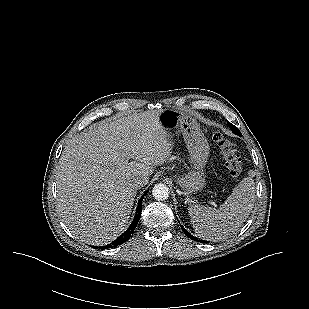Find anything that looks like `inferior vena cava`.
I'll use <instances>...</instances> for the list:
<instances>
[{"label":"inferior vena cava","instance_id":"602c4592","mask_svg":"<svg viewBox=\"0 0 309 309\" xmlns=\"http://www.w3.org/2000/svg\"><path fill=\"white\" fill-rule=\"evenodd\" d=\"M147 184V179L145 177H136L132 180V185L135 188H141Z\"/></svg>","mask_w":309,"mask_h":309}]
</instances>
